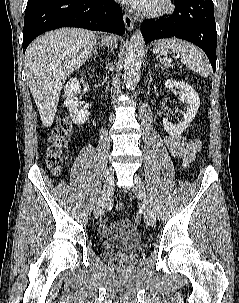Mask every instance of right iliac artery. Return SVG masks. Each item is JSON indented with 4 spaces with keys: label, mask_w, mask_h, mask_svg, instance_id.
<instances>
[{
    "label": "right iliac artery",
    "mask_w": 239,
    "mask_h": 303,
    "mask_svg": "<svg viewBox=\"0 0 239 303\" xmlns=\"http://www.w3.org/2000/svg\"><path fill=\"white\" fill-rule=\"evenodd\" d=\"M111 191H113V185L111 186V188L109 190L108 196L110 195Z\"/></svg>",
    "instance_id": "82829eb1"
}]
</instances>
